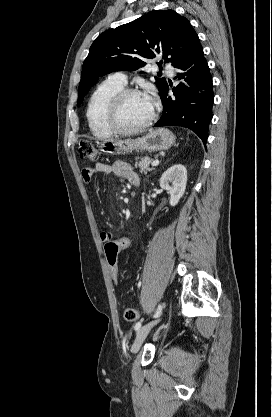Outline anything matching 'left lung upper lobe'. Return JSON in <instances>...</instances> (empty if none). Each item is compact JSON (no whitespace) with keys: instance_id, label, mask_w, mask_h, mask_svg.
Masks as SVG:
<instances>
[{"instance_id":"obj_1","label":"left lung upper lobe","mask_w":272,"mask_h":417,"mask_svg":"<svg viewBox=\"0 0 272 417\" xmlns=\"http://www.w3.org/2000/svg\"><path fill=\"white\" fill-rule=\"evenodd\" d=\"M200 46L190 22L173 10L151 11L107 30L93 42L83 63L77 105L100 76L113 71L137 70L146 64V59L156 55L175 66ZM155 79L161 94L167 82L165 78Z\"/></svg>"}]
</instances>
